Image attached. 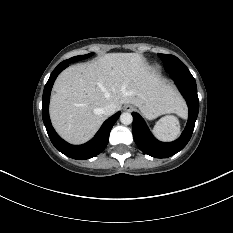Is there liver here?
<instances>
[{
	"instance_id": "6515ba94",
	"label": "liver",
	"mask_w": 233,
	"mask_h": 233,
	"mask_svg": "<svg viewBox=\"0 0 233 233\" xmlns=\"http://www.w3.org/2000/svg\"><path fill=\"white\" fill-rule=\"evenodd\" d=\"M134 104L148 118L183 114L176 91L151 73L138 53H108L89 63L70 66L56 79L50 118L57 133L72 144L87 142L106 119L101 109Z\"/></svg>"
}]
</instances>
